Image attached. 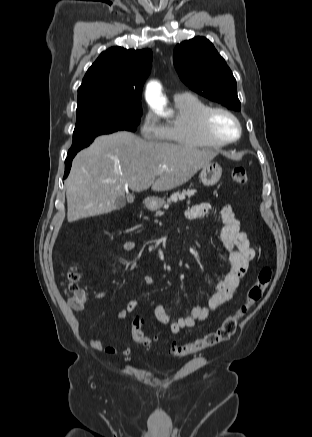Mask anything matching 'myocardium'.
<instances>
[{
  "label": "myocardium",
  "mask_w": 312,
  "mask_h": 437,
  "mask_svg": "<svg viewBox=\"0 0 312 437\" xmlns=\"http://www.w3.org/2000/svg\"><path fill=\"white\" fill-rule=\"evenodd\" d=\"M217 113H223L233 119L237 127V134L235 137L230 139H221L213 133L210 124H211L212 117ZM199 124H200L201 132L205 136V138L209 140L211 143L218 146H225L234 143L240 139L242 134V126L240 120L232 111H230L225 107H220V106L209 107L201 114Z\"/></svg>",
  "instance_id": "obj_1"
}]
</instances>
